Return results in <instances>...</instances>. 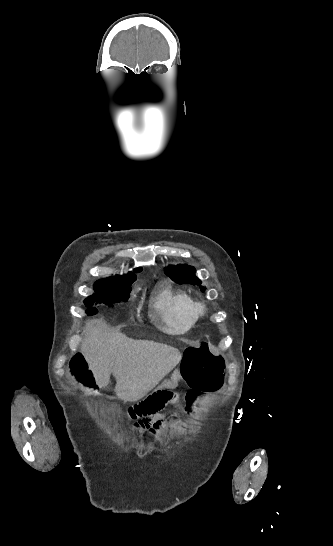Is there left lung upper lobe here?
Returning <instances> with one entry per match:
<instances>
[{
	"instance_id": "1",
	"label": "left lung upper lobe",
	"mask_w": 333,
	"mask_h": 546,
	"mask_svg": "<svg viewBox=\"0 0 333 546\" xmlns=\"http://www.w3.org/2000/svg\"><path fill=\"white\" fill-rule=\"evenodd\" d=\"M173 281L179 284L190 283L192 285H200L201 281L195 276V268L186 264H179L176 266H168L164 270ZM201 291L205 288L200 286Z\"/></svg>"
}]
</instances>
